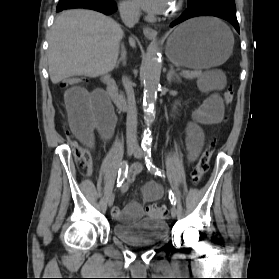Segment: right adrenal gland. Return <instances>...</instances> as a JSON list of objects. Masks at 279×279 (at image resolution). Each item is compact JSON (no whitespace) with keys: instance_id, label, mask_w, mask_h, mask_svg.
I'll use <instances>...</instances> for the list:
<instances>
[{"instance_id":"right-adrenal-gland-1","label":"right adrenal gland","mask_w":279,"mask_h":279,"mask_svg":"<svg viewBox=\"0 0 279 279\" xmlns=\"http://www.w3.org/2000/svg\"><path fill=\"white\" fill-rule=\"evenodd\" d=\"M126 49L125 47L122 45V48H121V57L119 58V60L117 61L116 63V67H119L120 63H122L123 66L126 65Z\"/></svg>"}]
</instances>
